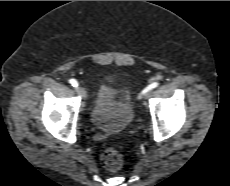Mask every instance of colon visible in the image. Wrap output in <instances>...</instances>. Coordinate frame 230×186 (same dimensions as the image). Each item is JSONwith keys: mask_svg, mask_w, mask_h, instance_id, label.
<instances>
[{"mask_svg": "<svg viewBox=\"0 0 230 186\" xmlns=\"http://www.w3.org/2000/svg\"><path fill=\"white\" fill-rule=\"evenodd\" d=\"M102 165L109 171H116L123 165V156L115 148H107L101 155Z\"/></svg>", "mask_w": 230, "mask_h": 186, "instance_id": "5ec220e1", "label": "colon"}]
</instances>
